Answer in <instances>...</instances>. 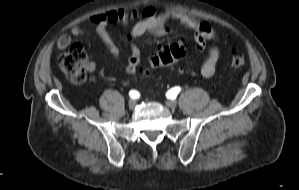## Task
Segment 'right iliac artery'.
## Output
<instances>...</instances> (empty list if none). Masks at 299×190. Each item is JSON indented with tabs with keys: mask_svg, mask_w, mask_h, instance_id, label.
Masks as SVG:
<instances>
[{
	"mask_svg": "<svg viewBox=\"0 0 299 190\" xmlns=\"http://www.w3.org/2000/svg\"><path fill=\"white\" fill-rule=\"evenodd\" d=\"M129 95H130V97L133 98V99H137V98H139V96H140V94L138 93V91H135V90H131V91L129 92Z\"/></svg>",
	"mask_w": 299,
	"mask_h": 190,
	"instance_id": "1",
	"label": "right iliac artery"
}]
</instances>
